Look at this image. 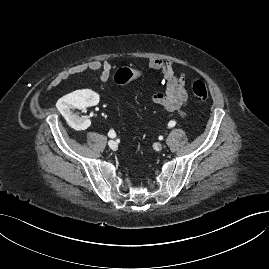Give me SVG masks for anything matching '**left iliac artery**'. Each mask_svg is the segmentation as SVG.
Masks as SVG:
<instances>
[{
    "instance_id": "44dca946",
    "label": "left iliac artery",
    "mask_w": 269,
    "mask_h": 269,
    "mask_svg": "<svg viewBox=\"0 0 269 269\" xmlns=\"http://www.w3.org/2000/svg\"><path fill=\"white\" fill-rule=\"evenodd\" d=\"M175 124H176V122H175L174 120H171V121L168 123V127H169V128H172V127L175 126Z\"/></svg>"
}]
</instances>
